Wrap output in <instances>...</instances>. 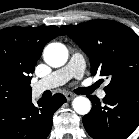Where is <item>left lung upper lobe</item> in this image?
Masks as SVG:
<instances>
[{
	"instance_id": "1",
	"label": "left lung upper lobe",
	"mask_w": 139,
	"mask_h": 139,
	"mask_svg": "<svg viewBox=\"0 0 139 139\" xmlns=\"http://www.w3.org/2000/svg\"><path fill=\"white\" fill-rule=\"evenodd\" d=\"M62 29L90 58L91 74L110 80L106 94L139 85V36L131 28L111 20H91Z\"/></svg>"
}]
</instances>
